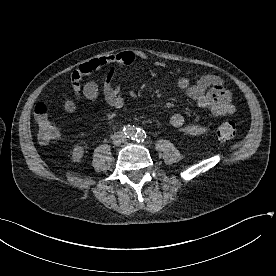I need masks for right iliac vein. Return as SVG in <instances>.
<instances>
[{"mask_svg": "<svg viewBox=\"0 0 276 276\" xmlns=\"http://www.w3.org/2000/svg\"><path fill=\"white\" fill-rule=\"evenodd\" d=\"M113 142H114V144H118V143H119V139H118L117 136H115V137L113 138Z\"/></svg>", "mask_w": 276, "mask_h": 276, "instance_id": "right-iliac-vein-1", "label": "right iliac vein"}]
</instances>
